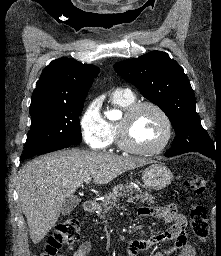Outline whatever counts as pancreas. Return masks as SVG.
<instances>
[{
	"instance_id": "obj_1",
	"label": "pancreas",
	"mask_w": 221,
	"mask_h": 256,
	"mask_svg": "<svg viewBox=\"0 0 221 256\" xmlns=\"http://www.w3.org/2000/svg\"><path fill=\"white\" fill-rule=\"evenodd\" d=\"M127 197V202L134 204H149L154 203V196L150 194L149 191L140 193L139 190H133L131 186H123L122 184L117 185L113 188L112 192L105 195L102 200V206L98 207V215L101 218L105 217V214L112 210L114 206L119 202V198ZM102 213V214H101Z\"/></svg>"
}]
</instances>
